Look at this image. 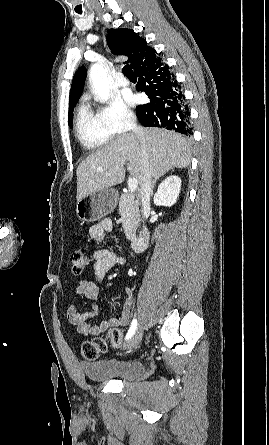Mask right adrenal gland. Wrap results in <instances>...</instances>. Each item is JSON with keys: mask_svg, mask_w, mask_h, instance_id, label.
Listing matches in <instances>:
<instances>
[{"mask_svg": "<svg viewBox=\"0 0 269 445\" xmlns=\"http://www.w3.org/2000/svg\"><path fill=\"white\" fill-rule=\"evenodd\" d=\"M167 172H168V171H167ZM165 173H166V172H165ZM165 173H163L160 177H162ZM160 177L155 178V179L153 180V182H152V185H151V191H150V195H151V196H153L154 186H155L157 180H158Z\"/></svg>", "mask_w": 269, "mask_h": 445, "instance_id": "right-adrenal-gland-1", "label": "right adrenal gland"}]
</instances>
